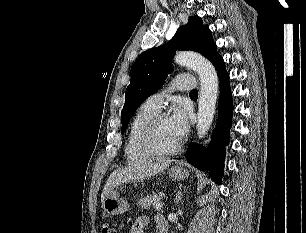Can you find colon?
<instances>
[{
    "label": "colon",
    "instance_id": "obj_1",
    "mask_svg": "<svg viewBox=\"0 0 306 233\" xmlns=\"http://www.w3.org/2000/svg\"><path fill=\"white\" fill-rule=\"evenodd\" d=\"M100 233H119L115 225L105 222L100 227Z\"/></svg>",
    "mask_w": 306,
    "mask_h": 233
}]
</instances>
